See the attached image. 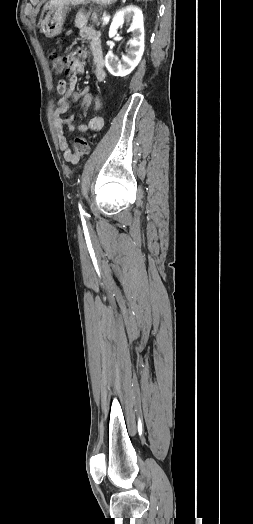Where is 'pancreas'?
Here are the masks:
<instances>
[{"label":"pancreas","instance_id":"obj_1","mask_svg":"<svg viewBox=\"0 0 253 524\" xmlns=\"http://www.w3.org/2000/svg\"><path fill=\"white\" fill-rule=\"evenodd\" d=\"M101 12H102L101 9H90V11L88 12V15H91L92 23L98 26L100 25V22L102 20V18L100 17ZM102 26L104 27L105 23H103Z\"/></svg>","mask_w":253,"mask_h":524}]
</instances>
